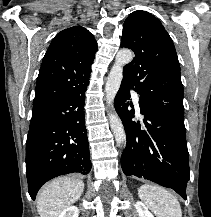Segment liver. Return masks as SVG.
Masks as SVG:
<instances>
[{
  "label": "liver",
  "mask_w": 211,
  "mask_h": 217,
  "mask_svg": "<svg viewBox=\"0 0 211 217\" xmlns=\"http://www.w3.org/2000/svg\"><path fill=\"white\" fill-rule=\"evenodd\" d=\"M84 190V182L75 177H60L45 186L36 203L40 217H58L60 213L75 203Z\"/></svg>",
  "instance_id": "6515ba94"
}]
</instances>
